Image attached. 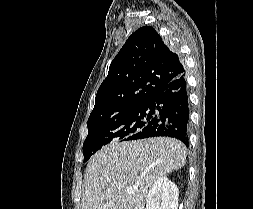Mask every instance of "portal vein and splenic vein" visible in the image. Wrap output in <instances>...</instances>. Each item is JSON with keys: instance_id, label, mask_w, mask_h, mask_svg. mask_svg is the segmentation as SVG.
<instances>
[{"instance_id": "1", "label": "portal vein and splenic vein", "mask_w": 253, "mask_h": 209, "mask_svg": "<svg viewBox=\"0 0 253 209\" xmlns=\"http://www.w3.org/2000/svg\"><path fill=\"white\" fill-rule=\"evenodd\" d=\"M134 192H135V189H133L132 187H129V188L126 189L127 194H132Z\"/></svg>"}]
</instances>
